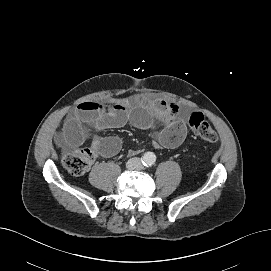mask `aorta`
<instances>
[{
    "label": "aorta",
    "mask_w": 271,
    "mask_h": 271,
    "mask_svg": "<svg viewBox=\"0 0 271 271\" xmlns=\"http://www.w3.org/2000/svg\"><path fill=\"white\" fill-rule=\"evenodd\" d=\"M144 162L146 164H152L154 162V157L151 153L145 154Z\"/></svg>",
    "instance_id": "obj_1"
}]
</instances>
